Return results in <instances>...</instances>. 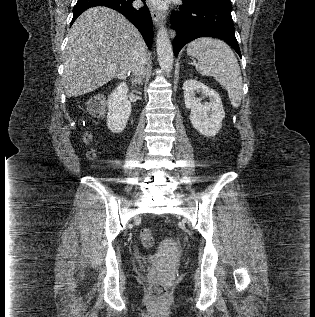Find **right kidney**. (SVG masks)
<instances>
[{
    "instance_id": "1",
    "label": "right kidney",
    "mask_w": 315,
    "mask_h": 317,
    "mask_svg": "<svg viewBox=\"0 0 315 317\" xmlns=\"http://www.w3.org/2000/svg\"><path fill=\"white\" fill-rule=\"evenodd\" d=\"M128 87L121 82L108 97L107 127L112 133H121L131 115Z\"/></svg>"
}]
</instances>
